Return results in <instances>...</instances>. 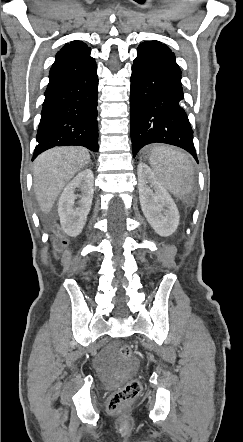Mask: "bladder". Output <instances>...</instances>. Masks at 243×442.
<instances>
[{
  "label": "bladder",
  "mask_w": 243,
  "mask_h": 442,
  "mask_svg": "<svg viewBox=\"0 0 243 442\" xmlns=\"http://www.w3.org/2000/svg\"><path fill=\"white\" fill-rule=\"evenodd\" d=\"M116 367L119 373L118 377L122 379L128 376L133 371L135 367V362H126L124 360H121L116 364Z\"/></svg>",
  "instance_id": "bladder-1"
}]
</instances>
